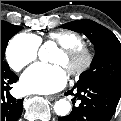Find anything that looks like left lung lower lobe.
Wrapping results in <instances>:
<instances>
[{"instance_id": "obj_1", "label": "left lung lower lobe", "mask_w": 121, "mask_h": 121, "mask_svg": "<svg viewBox=\"0 0 121 121\" xmlns=\"http://www.w3.org/2000/svg\"><path fill=\"white\" fill-rule=\"evenodd\" d=\"M81 100L78 107L74 106L68 116L59 117V121H110L113 116L121 93L112 87L98 83L76 84L66 95L74 94Z\"/></svg>"}]
</instances>
